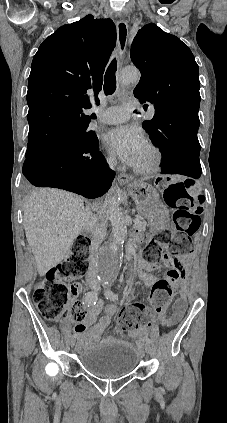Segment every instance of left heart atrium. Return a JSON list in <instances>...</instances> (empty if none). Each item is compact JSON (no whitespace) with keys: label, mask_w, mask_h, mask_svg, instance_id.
Instances as JSON below:
<instances>
[{"label":"left heart atrium","mask_w":227,"mask_h":423,"mask_svg":"<svg viewBox=\"0 0 227 423\" xmlns=\"http://www.w3.org/2000/svg\"><path fill=\"white\" fill-rule=\"evenodd\" d=\"M105 141L110 150L128 165L136 166L141 158L147 141L143 134L136 128L122 127L111 130Z\"/></svg>","instance_id":"obj_1"}]
</instances>
